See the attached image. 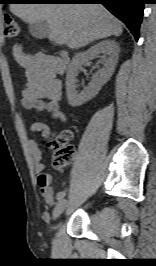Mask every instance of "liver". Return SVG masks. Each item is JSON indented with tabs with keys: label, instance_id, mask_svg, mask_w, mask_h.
Wrapping results in <instances>:
<instances>
[{
	"label": "liver",
	"instance_id": "obj_1",
	"mask_svg": "<svg viewBox=\"0 0 156 266\" xmlns=\"http://www.w3.org/2000/svg\"><path fill=\"white\" fill-rule=\"evenodd\" d=\"M10 11L24 22L45 21L50 29L48 38L56 45L71 49L91 42L120 36L122 25L101 4H10Z\"/></svg>",
	"mask_w": 156,
	"mask_h": 266
}]
</instances>
